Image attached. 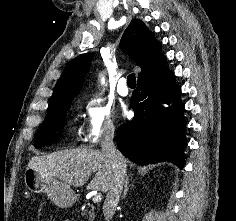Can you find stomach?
<instances>
[{
	"label": "stomach",
	"instance_id": "1",
	"mask_svg": "<svg viewBox=\"0 0 236 221\" xmlns=\"http://www.w3.org/2000/svg\"><path fill=\"white\" fill-rule=\"evenodd\" d=\"M24 182L30 191L45 193L59 207H71L76 201L74 191L68 185L33 168L25 170Z\"/></svg>",
	"mask_w": 236,
	"mask_h": 221
}]
</instances>
